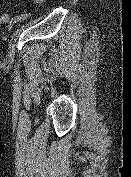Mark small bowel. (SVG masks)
Masks as SVG:
<instances>
[{
  "instance_id": "small-bowel-1",
  "label": "small bowel",
  "mask_w": 131,
  "mask_h": 177,
  "mask_svg": "<svg viewBox=\"0 0 131 177\" xmlns=\"http://www.w3.org/2000/svg\"><path fill=\"white\" fill-rule=\"evenodd\" d=\"M41 1V2H40ZM45 0H32V2L36 5H40L44 2ZM30 16L29 13H24V14H21L17 17V19L19 21L21 20H25L27 19L28 17ZM3 23H7L9 25H12L13 24V21L10 17V15L8 13H3L1 16H0V24H3Z\"/></svg>"
}]
</instances>
